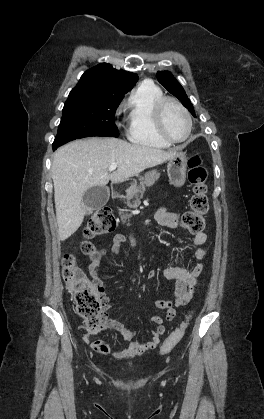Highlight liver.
<instances>
[{
  "label": "liver",
  "instance_id": "6515ba94",
  "mask_svg": "<svg viewBox=\"0 0 264 419\" xmlns=\"http://www.w3.org/2000/svg\"><path fill=\"white\" fill-rule=\"evenodd\" d=\"M176 152L99 137L76 140L56 150L51 173L60 240L68 239L81 226L86 213L82 198L89 188L106 186L109 180L122 182L162 164ZM112 163L118 167L111 172Z\"/></svg>",
  "mask_w": 264,
  "mask_h": 419
}]
</instances>
